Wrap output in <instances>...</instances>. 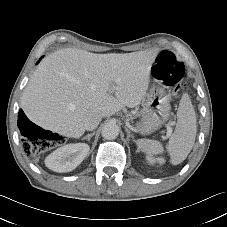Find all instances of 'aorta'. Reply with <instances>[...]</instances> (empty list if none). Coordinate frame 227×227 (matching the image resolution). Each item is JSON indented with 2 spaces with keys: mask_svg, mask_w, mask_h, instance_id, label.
<instances>
[{
  "mask_svg": "<svg viewBox=\"0 0 227 227\" xmlns=\"http://www.w3.org/2000/svg\"><path fill=\"white\" fill-rule=\"evenodd\" d=\"M120 128L115 123H106L102 127V137L107 140H113L119 135Z\"/></svg>",
  "mask_w": 227,
  "mask_h": 227,
  "instance_id": "aorta-1",
  "label": "aorta"
}]
</instances>
